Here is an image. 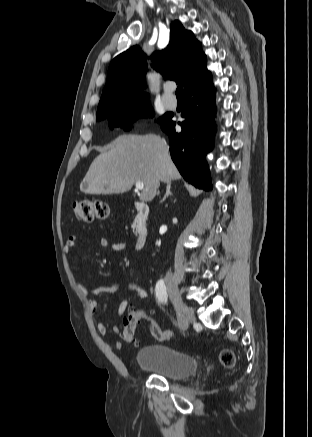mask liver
I'll use <instances>...</instances> for the list:
<instances>
[{"label":"liver","instance_id":"1","mask_svg":"<svg viewBox=\"0 0 312 437\" xmlns=\"http://www.w3.org/2000/svg\"><path fill=\"white\" fill-rule=\"evenodd\" d=\"M164 140L154 134L122 135L112 148L97 156L80 186L87 194L123 193L141 181V201L150 202L160 181L180 179Z\"/></svg>","mask_w":312,"mask_h":437}]
</instances>
